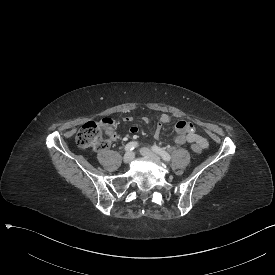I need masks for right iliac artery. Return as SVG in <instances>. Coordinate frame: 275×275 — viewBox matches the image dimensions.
Returning <instances> with one entry per match:
<instances>
[{"label": "right iliac artery", "mask_w": 275, "mask_h": 275, "mask_svg": "<svg viewBox=\"0 0 275 275\" xmlns=\"http://www.w3.org/2000/svg\"><path fill=\"white\" fill-rule=\"evenodd\" d=\"M138 146L137 142H129L128 144H126L125 146V151L129 152L134 150L136 147Z\"/></svg>", "instance_id": "right-iliac-artery-1"}]
</instances>
